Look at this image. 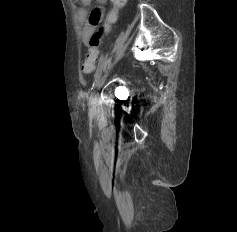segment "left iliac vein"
Here are the masks:
<instances>
[{"instance_id":"4c4485c4","label":"left iliac vein","mask_w":237,"mask_h":232,"mask_svg":"<svg viewBox=\"0 0 237 232\" xmlns=\"http://www.w3.org/2000/svg\"><path fill=\"white\" fill-rule=\"evenodd\" d=\"M107 76H108V72L100 76L94 83L95 90L93 91V93L91 94L89 98V108L91 111L96 110V105H97V92L96 91L103 86V84L106 81Z\"/></svg>"}]
</instances>
